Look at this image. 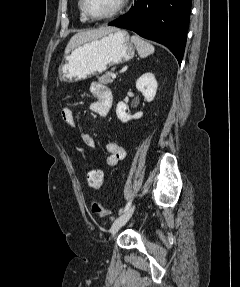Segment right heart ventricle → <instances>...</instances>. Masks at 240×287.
<instances>
[{
	"instance_id": "e07e8e85",
	"label": "right heart ventricle",
	"mask_w": 240,
	"mask_h": 287,
	"mask_svg": "<svg viewBox=\"0 0 240 287\" xmlns=\"http://www.w3.org/2000/svg\"><path fill=\"white\" fill-rule=\"evenodd\" d=\"M78 9H79V15H80L81 21H84V22L88 21V18L83 13L82 6H81V0H78Z\"/></svg>"
}]
</instances>
